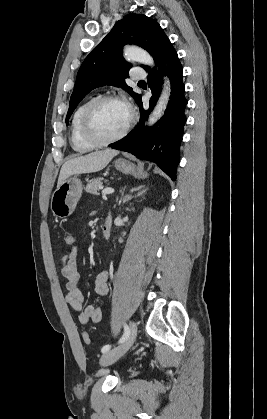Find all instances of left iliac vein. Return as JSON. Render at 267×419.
<instances>
[{
  "label": "left iliac vein",
  "instance_id": "left-iliac-vein-1",
  "mask_svg": "<svg viewBox=\"0 0 267 419\" xmlns=\"http://www.w3.org/2000/svg\"><path fill=\"white\" fill-rule=\"evenodd\" d=\"M137 336V325L134 321L130 322V332L127 339L118 347L105 352L100 358V364L102 366H108L117 361L123 356L133 345Z\"/></svg>",
  "mask_w": 267,
  "mask_h": 419
}]
</instances>
